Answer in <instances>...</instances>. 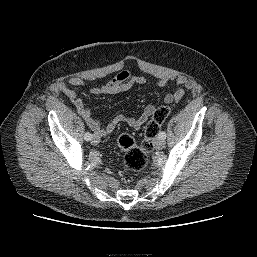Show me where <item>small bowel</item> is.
Returning a JSON list of instances; mask_svg holds the SVG:
<instances>
[{
    "label": "small bowel",
    "instance_id": "small-bowel-1",
    "mask_svg": "<svg viewBox=\"0 0 257 257\" xmlns=\"http://www.w3.org/2000/svg\"><path fill=\"white\" fill-rule=\"evenodd\" d=\"M169 80L170 78L167 75H160L157 77V84L159 86H164L169 82ZM145 82L146 80L142 76L133 75L128 71H121L107 83L92 87L90 91L93 94H115L127 91L136 85H143ZM85 85L86 82L84 79L71 77L60 84V90L73 101L77 112L83 118L87 126L93 131L94 135L99 138L110 134L120 123H125L133 129H139L155 111V106L149 104L137 118L127 117L123 114H116L112 116L110 120L103 123L92 115L91 110L83 102L82 98H80L72 89V86ZM193 86L194 82L191 79L186 76H179L176 79V88L174 92L165 95V103L171 104L181 100L185 96L186 92L192 89Z\"/></svg>",
    "mask_w": 257,
    "mask_h": 257
}]
</instances>
